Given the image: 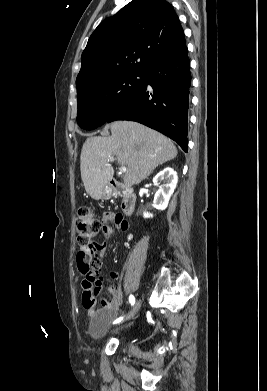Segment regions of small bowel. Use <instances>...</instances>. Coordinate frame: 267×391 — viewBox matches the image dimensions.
I'll use <instances>...</instances> for the list:
<instances>
[{
	"label": "small bowel",
	"instance_id": "c3829d8e",
	"mask_svg": "<svg viewBox=\"0 0 267 391\" xmlns=\"http://www.w3.org/2000/svg\"><path fill=\"white\" fill-rule=\"evenodd\" d=\"M103 220L107 224H115L116 228L121 231H127L129 229L128 222L123 220L120 215L105 212L103 214ZM105 233L108 237H113L114 228L111 226H106ZM104 252L105 245L99 251V253L94 255L88 252H79L77 255L78 270L82 278V304L88 312H93L95 310L97 296L103 286L104 277L102 274V257ZM110 278L117 280L119 278V274L117 272H111ZM109 292L112 297L111 300H104L102 303L105 307L108 308L115 307L121 302V293L113 286L109 288Z\"/></svg>",
	"mask_w": 267,
	"mask_h": 391
}]
</instances>
